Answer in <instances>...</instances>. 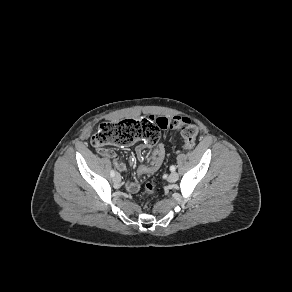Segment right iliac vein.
I'll return each instance as SVG.
<instances>
[{
  "mask_svg": "<svg viewBox=\"0 0 292 292\" xmlns=\"http://www.w3.org/2000/svg\"><path fill=\"white\" fill-rule=\"evenodd\" d=\"M113 181L115 184L120 185L121 183V176L119 174H116L113 178Z\"/></svg>",
  "mask_w": 292,
  "mask_h": 292,
  "instance_id": "obj_1",
  "label": "right iliac vein"
}]
</instances>
